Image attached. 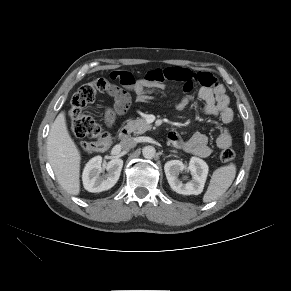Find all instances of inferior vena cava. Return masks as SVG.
<instances>
[{"label":"inferior vena cava","instance_id":"602c4592","mask_svg":"<svg viewBox=\"0 0 291 291\" xmlns=\"http://www.w3.org/2000/svg\"><path fill=\"white\" fill-rule=\"evenodd\" d=\"M120 146L125 150L131 149L136 146V140L132 137L125 138L120 142Z\"/></svg>","mask_w":291,"mask_h":291}]
</instances>
